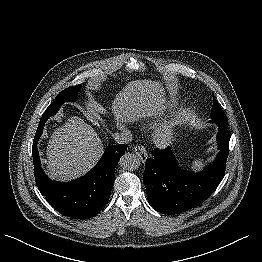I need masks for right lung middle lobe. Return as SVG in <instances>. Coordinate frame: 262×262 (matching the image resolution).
<instances>
[{
  "label": "right lung middle lobe",
  "instance_id": "obj_1",
  "mask_svg": "<svg viewBox=\"0 0 262 262\" xmlns=\"http://www.w3.org/2000/svg\"><path fill=\"white\" fill-rule=\"evenodd\" d=\"M81 85L71 86L67 89L63 90L61 93L57 95L55 100L50 104V106L46 109L42 117H49L51 115H54L58 112L60 106L64 102H73L76 100L77 93L81 89Z\"/></svg>",
  "mask_w": 262,
  "mask_h": 262
}]
</instances>
